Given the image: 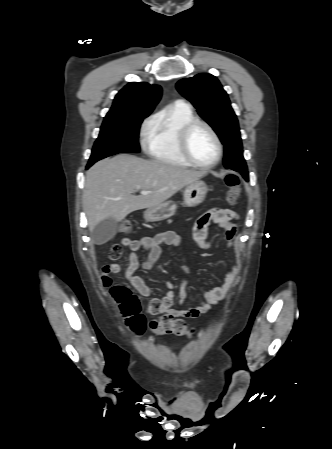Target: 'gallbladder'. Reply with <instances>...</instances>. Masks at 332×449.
Returning a JSON list of instances; mask_svg holds the SVG:
<instances>
[{
  "instance_id": "1",
  "label": "gallbladder",
  "mask_w": 332,
  "mask_h": 449,
  "mask_svg": "<svg viewBox=\"0 0 332 449\" xmlns=\"http://www.w3.org/2000/svg\"><path fill=\"white\" fill-rule=\"evenodd\" d=\"M117 221L108 218L98 223L91 232L93 241L98 244H104L109 241L116 233Z\"/></svg>"
}]
</instances>
